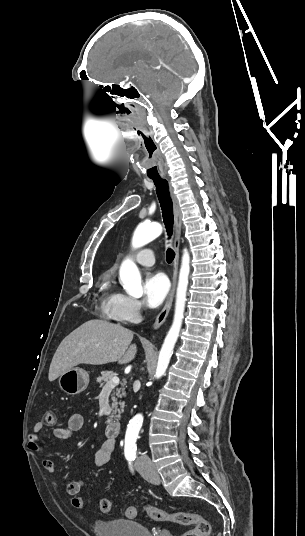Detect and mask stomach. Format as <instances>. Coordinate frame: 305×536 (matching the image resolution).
Returning a JSON list of instances; mask_svg holds the SVG:
<instances>
[{"instance_id": "0dacf381", "label": "stomach", "mask_w": 305, "mask_h": 536, "mask_svg": "<svg viewBox=\"0 0 305 536\" xmlns=\"http://www.w3.org/2000/svg\"><path fill=\"white\" fill-rule=\"evenodd\" d=\"M58 384L62 392L75 396L86 390L89 384V374L82 368H71L59 376Z\"/></svg>"}]
</instances>
